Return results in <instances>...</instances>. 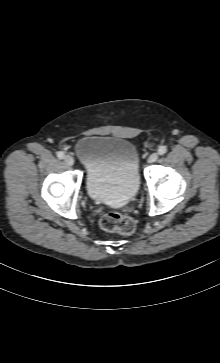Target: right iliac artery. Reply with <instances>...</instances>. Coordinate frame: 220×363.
<instances>
[{
	"label": "right iliac artery",
	"mask_w": 220,
	"mask_h": 363,
	"mask_svg": "<svg viewBox=\"0 0 220 363\" xmlns=\"http://www.w3.org/2000/svg\"><path fill=\"white\" fill-rule=\"evenodd\" d=\"M64 153L62 152V151H59L58 153H57V157L59 158V159H63L64 158Z\"/></svg>",
	"instance_id": "right-iliac-artery-1"
}]
</instances>
